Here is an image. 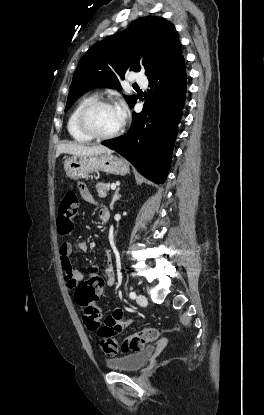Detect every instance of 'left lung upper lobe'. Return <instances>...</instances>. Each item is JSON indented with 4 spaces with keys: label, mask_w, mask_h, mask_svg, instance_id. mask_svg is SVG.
<instances>
[{
    "label": "left lung upper lobe",
    "mask_w": 264,
    "mask_h": 415,
    "mask_svg": "<svg viewBox=\"0 0 264 415\" xmlns=\"http://www.w3.org/2000/svg\"><path fill=\"white\" fill-rule=\"evenodd\" d=\"M182 56L174 25L162 17H142L126 30L93 45L74 72L65 111L82 94L99 87L121 89L127 71L145 70L148 77ZM129 106L135 96H125Z\"/></svg>",
    "instance_id": "left-lung-upper-lobe-1"
}]
</instances>
